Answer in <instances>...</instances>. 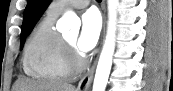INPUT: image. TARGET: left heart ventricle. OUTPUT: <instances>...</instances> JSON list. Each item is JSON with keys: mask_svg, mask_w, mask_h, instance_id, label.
Instances as JSON below:
<instances>
[{"mask_svg": "<svg viewBox=\"0 0 173 91\" xmlns=\"http://www.w3.org/2000/svg\"><path fill=\"white\" fill-rule=\"evenodd\" d=\"M67 41H68L69 43H71V44L74 46L75 41H76V37H75V36L70 37V38L67 39Z\"/></svg>", "mask_w": 173, "mask_h": 91, "instance_id": "b2bd125f", "label": "left heart ventricle"}]
</instances>
